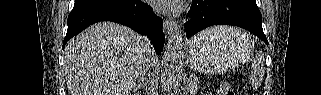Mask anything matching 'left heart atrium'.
<instances>
[{
  "label": "left heart atrium",
  "instance_id": "39dd6f15",
  "mask_svg": "<svg viewBox=\"0 0 321 95\" xmlns=\"http://www.w3.org/2000/svg\"><path fill=\"white\" fill-rule=\"evenodd\" d=\"M153 6L162 11H175L179 9L182 1L179 0H153Z\"/></svg>",
  "mask_w": 321,
  "mask_h": 95
}]
</instances>
